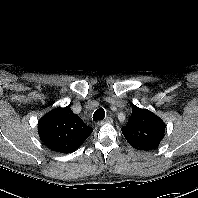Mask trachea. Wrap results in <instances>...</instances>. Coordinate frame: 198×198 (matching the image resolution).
Returning <instances> with one entry per match:
<instances>
[{"mask_svg": "<svg viewBox=\"0 0 198 198\" xmlns=\"http://www.w3.org/2000/svg\"><path fill=\"white\" fill-rule=\"evenodd\" d=\"M105 118V111L103 108L97 109L93 114V120H103Z\"/></svg>", "mask_w": 198, "mask_h": 198, "instance_id": "3493384b", "label": "trachea"}]
</instances>
